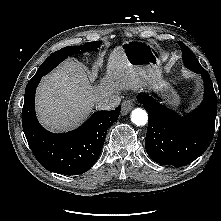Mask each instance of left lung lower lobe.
<instances>
[{"label":"left lung lower lobe","instance_id":"left-lung-lower-lobe-1","mask_svg":"<svg viewBox=\"0 0 221 221\" xmlns=\"http://www.w3.org/2000/svg\"><path fill=\"white\" fill-rule=\"evenodd\" d=\"M194 72L203 77L205 95L203 103L185 117L159 104L146 93L137 96L149 116L145 148L150 158L159 164L175 167L189 164L202 155L212 141L217 96L207 71Z\"/></svg>","mask_w":221,"mask_h":221}]
</instances>
